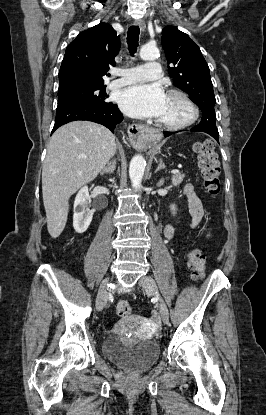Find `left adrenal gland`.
Instances as JSON below:
<instances>
[{
    "label": "left adrenal gland",
    "mask_w": 266,
    "mask_h": 415,
    "mask_svg": "<svg viewBox=\"0 0 266 415\" xmlns=\"http://www.w3.org/2000/svg\"><path fill=\"white\" fill-rule=\"evenodd\" d=\"M164 168H165V165L163 164L162 159H160V160H159L158 167H157V169L155 170V173H157L159 170L164 169ZM162 184H163V179H162V180H160V181L158 182V186H160V185H162Z\"/></svg>",
    "instance_id": "a2214340"
}]
</instances>
